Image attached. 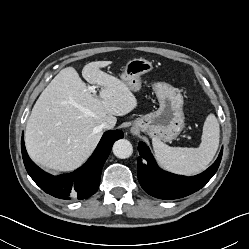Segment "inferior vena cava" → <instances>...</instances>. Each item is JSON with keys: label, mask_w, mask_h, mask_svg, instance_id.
<instances>
[{"label": "inferior vena cava", "mask_w": 249, "mask_h": 249, "mask_svg": "<svg viewBox=\"0 0 249 249\" xmlns=\"http://www.w3.org/2000/svg\"><path fill=\"white\" fill-rule=\"evenodd\" d=\"M114 126L111 124V123H108V122H103L101 123L100 125V128L101 129H112Z\"/></svg>", "instance_id": "obj_1"}]
</instances>
